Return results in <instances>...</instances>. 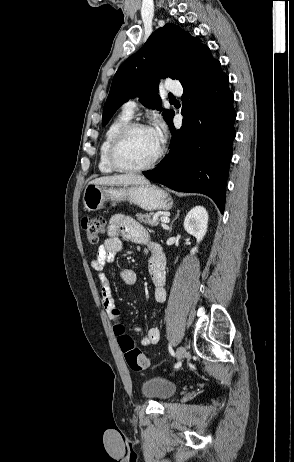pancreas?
I'll list each match as a JSON object with an SVG mask.
<instances>
[{"label": "pancreas", "instance_id": "cf45deb5", "mask_svg": "<svg viewBox=\"0 0 294 462\" xmlns=\"http://www.w3.org/2000/svg\"><path fill=\"white\" fill-rule=\"evenodd\" d=\"M136 217L138 218V220L145 224V225H151V226H156L158 225V220H155L153 218V215L152 214H142V213H139V214H136Z\"/></svg>", "mask_w": 294, "mask_h": 462}]
</instances>
